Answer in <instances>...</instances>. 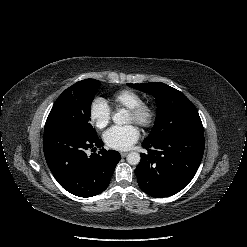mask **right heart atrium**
I'll return each instance as SVG.
<instances>
[{"instance_id":"obj_1","label":"right heart atrium","mask_w":247,"mask_h":247,"mask_svg":"<svg viewBox=\"0 0 247 247\" xmlns=\"http://www.w3.org/2000/svg\"><path fill=\"white\" fill-rule=\"evenodd\" d=\"M112 117L109 105L101 98H95L89 106V118L99 129L106 127Z\"/></svg>"}]
</instances>
